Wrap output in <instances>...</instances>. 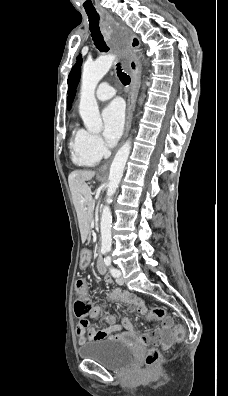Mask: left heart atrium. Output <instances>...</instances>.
Segmentation results:
<instances>
[{
  "mask_svg": "<svg viewBox=\"0 0 228 396\" xmlns=\"http://www.w3.org/2000/svg\"><path fill=\"white\" fill-rule=\"evenodd\" d=\"M103 135L108 143L114 144L121 136L125 123V110L122 101L111 102L102 113Z\"/></svg>",
  "mask_w": 228,
  "mask_h": 396,
  "instance_id": "obj_1",
  "label": "left heart atrium"
}]
</instances>
